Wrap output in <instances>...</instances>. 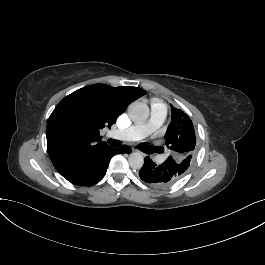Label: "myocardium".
<instances>
[{"mask_svg":"<svg viewBox=\"0 0 265 265\" xmlns=\"http://www.w3.org/2000/svg\"><path fill=\"white\" fill-rule=\"evenodd\" d=\"M150 108V107H149ZM151 116H153V113L151 112V114H150Z\"/></svg>","mask_w":265,"mask_h":265,"instance_id":"obj_1","label":"myocardium"}]
</instances>
